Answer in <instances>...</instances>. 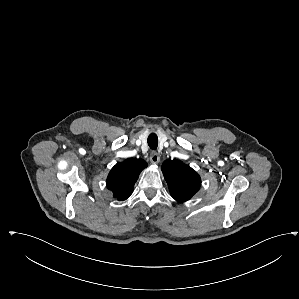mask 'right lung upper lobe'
<instances>
[{
	"instance_id": "right-lung-upper-lobe-1",
	"label": "right lung upper lobe",
	"mask_w": 299,
	"mask_h": 299,
	"mask_svg": "<svg viewBox=\"0 0 299 299\" xmlns=\"http://www.w3.org/2000/svg\"><path fill=\"white\" fill-rule=\"evenodd\" d=\"M146 167L147 163L142 159L131 158L117 163L107 177V188L117 200H126L132 194L140 172Z\"/></svg>"
}]
</instances>
